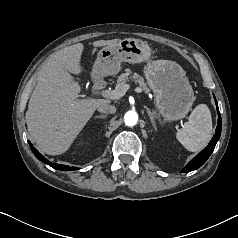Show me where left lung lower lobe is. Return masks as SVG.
<instances>
[{
    "mask_svg": "<svg viewBox=\"0 0 238 238\" xmlns=\"http://www.w3.org/2000/svg\"><path fill=\"white\" fill-rule=\"evenodd\" d=\"M216 106L218 111V124L215 131V135L213 136L208 146L184 167L183 172H190V171L198 169L200 166H202L206 162V160L209 158V156L213 152L216 146V143L219 140V137L221 134V127H222L221 116L218 110L217 102H216Z\"/></svg>",
    "mask_w": 238,
    "mask_h": 238,
    "instance_id": "obj_1",
    "label": "left lung lower lobe"
}]
</instances>
